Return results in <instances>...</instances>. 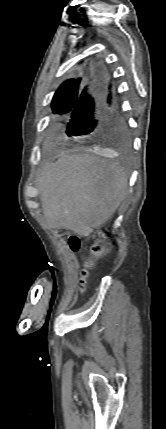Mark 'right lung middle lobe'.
<instances>
[{
    "label": "right lung middle lobe",
    "instance_id": "right-lung-middle-lobe-1",
    "mask_svg": "<svg viewBox=\"0 0 166 429\" xmlns=\"http://www.w3.org/2000/svg\"><path fill=\"white\" fill-rule=\"evenodd\" d=\"M82 79H70L61 84L52 99V110L54 113L67 114L71 111L80 91ZM107 143L127 148L129 145V131L126 127L114 130L106 140Z\"/></svg>",
    "mask_w": 166,
    "mask_h": 429
}]
</instances>
